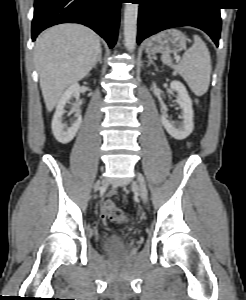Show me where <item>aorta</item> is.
Listing matches in <instances>:
<instances>
[{"label":"aorta","instance_id":"obj_1","mask_svg":"<svg viewBox=\"0 0 246 300\" xmlns=\"http://www.w3.org/2000/svg\"><path fill=\"white\" fill-rule=\"evenodd\" d=\"M139 5L137 3H125L124 9V40L128 51H134L137 37V19Z\"/></svg>","mask_w":246,"mask_h":300}]
</instances>
